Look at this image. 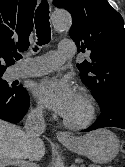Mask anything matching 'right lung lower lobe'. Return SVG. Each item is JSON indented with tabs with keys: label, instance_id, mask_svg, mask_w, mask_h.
Segmentation results:
<instances>
[{
	"label": "right lung lower lobe",
	"instance_id": "98d812e1",
	"mask_svg": "<svg viewBox=\"0 0 125 167\" xmlns=\"http://www.w3.org/2000/svg\"><path fill=\"white\" fill-rule=\"evenodd\" d=\"M11 92L0 88V119L17 123L26 114L29 108V95L21 86Z\"/></svg>",
	"mask_w": 125,
	"mask_h": 167
}]
</instances>
